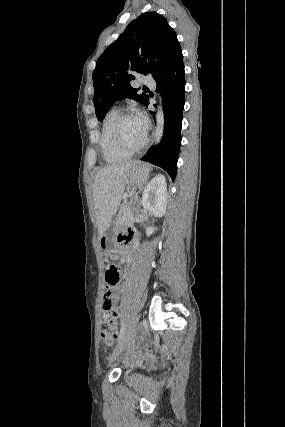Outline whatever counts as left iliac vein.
<instances>
[{"instance_id": "obj_1", "label": "left iliac vein", "mask_w": 285, "mask_h": 427, "mask_svg": "<svg viewBox=\"0 0 285 427\" xmlns=\"http://www.w3.org/2000/svg\"><path fill=\"white\" fill-rule=\"evenodd\" d=\"M139 318L136 316L133 321L130 323L128 330L124 338L119 342L111 356L109 357V363H112L126 348V346L132 341L133 337L137 333Z\"/></svg>"}]
</instances>
